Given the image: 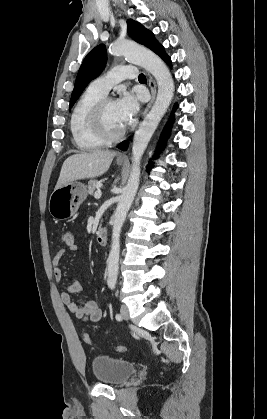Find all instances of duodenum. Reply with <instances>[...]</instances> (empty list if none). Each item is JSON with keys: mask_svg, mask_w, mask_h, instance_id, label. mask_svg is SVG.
I'll list each match as a JSON object with an SVG mask.
<instances>
[{"mask_svg": "<svg viewBox=\"0 0 267 419\" xmlns=\"http://www.w3.org/2000/svg\"><path fill=\"white\" fill-rule=\"evenodd\" d=\"M96 242L101 246L107 243V230L105 228H101L96 232Z\"/></svg>", "mask_w": 267, "mask_h": 419, "instance_id": "obj_1", "label": "duodenum"}]
</instances>
